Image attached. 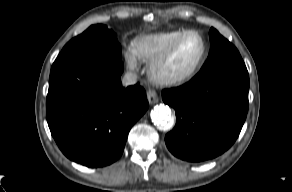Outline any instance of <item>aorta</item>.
Masks as SVG:
<instances>
[{
    "label": "aorta",
    "instance_id": "762f6f07",
    "mask_svg": "<svg viewBox=\"0 0 292 192\" xmlns=\"http://www.w3.org/2000/svg\"><path fill=\"white\" fill-rule=\"evenodd\" d=\"M152 122L161 130H169L173 123L171 117V109L164 105H156L151 110Z\"/></svg>",
    "mask_w": 292,
    "mask_h": 192
}]
</instances>
